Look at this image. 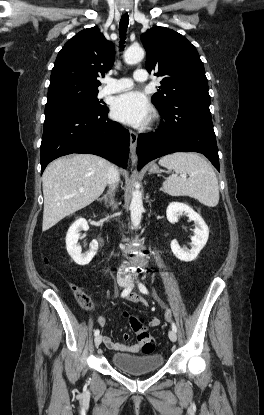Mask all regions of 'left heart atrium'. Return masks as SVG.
I'll list each match as a JSON object with an SVG mask.
<instances>
[{
  "label": "left heart atrium",
  "instance_id": "39dd6f15",
  "mask_svg": "<svg viewBox=\"0 0 264 415\" xmlns=\"http://www.w3.org/2000/svg\"><path fill=\"white\" fill-rule=\"evenodd\" d=\"M113 116L133 126L146 123L152 114L147 98L140 92L131 91L117 96L112 104Z\"/></svg>",
  "mask_w": 264,
  "mask_h": 415
}]
</instances>
